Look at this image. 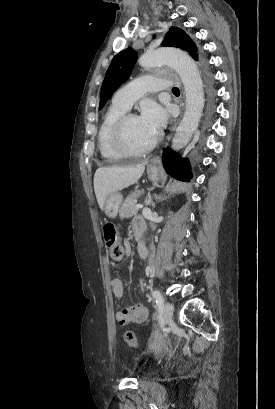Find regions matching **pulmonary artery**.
<instances>
[{"instance_id":"obj_1","label":"pulmonary artery","mask_w":275,"mask_h":409,"mask_svg":"<svg viewBox=\"0 0 275 409\" xmlns=\"http://www.w3.org/2000/svg\"><path fill=\"white\" fill-rule=\"evenodd\" d=\"M175 85L174 80L157 79L156 76L143 74L139 79H131L129 85H121L112 102L125 110H130L141 94H153L154 88L174 87Z\"/></svg>"}]
</instances>
